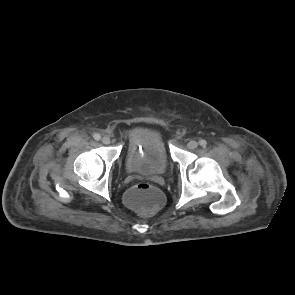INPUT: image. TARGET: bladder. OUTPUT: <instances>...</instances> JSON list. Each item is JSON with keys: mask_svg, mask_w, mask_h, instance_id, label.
<instances>
[{"mask_svg": "<svg viewBox=\"0 0 295 295\" xmlns=\"http://www.w3.org/2000/svg\"><path fill=\"white\" fill-rule=\"evenodd\" d=\"M124 161L128 171L147 177L163 175L170 166L166 143L156 131H146L132 141Z\"/></svg>", "mask_w": 295, "mask_h": 295, "instance_id": "1", "label": "bladder"}]
</instances>
